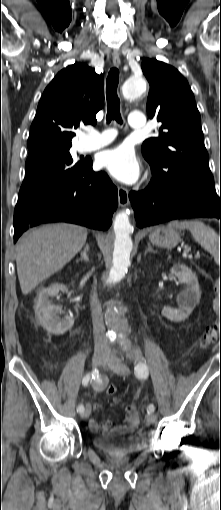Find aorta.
<instances>
[{
	"label": "aorta",
	"instance_id": "obj_1",
	"mask_svg": "<svg viewBox=\"0 0 221 510\" xmlns=\"http://www.w3.org/2000/svg\"><path fill=\"white\" fill-rule=\"evenodd\" d=\"M146 81L142 77H131L127 79L122 86V93L126 99L140 97L146 91ZM132 225L129 221V211L122 210L115 216L114 220V250L112 256V266L105 281V285L112 286L120 282L126 275L130 265V254L133 248L131 239ZM108 319L112 326L119 331L127 329L126 322L121 313L113 306L108 309Z\"/></svg>",
	"mask_w": 221,
	"mask_h": 510
}]
</instances>
